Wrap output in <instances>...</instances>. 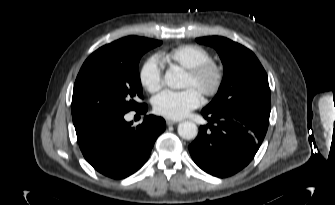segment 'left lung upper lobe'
<instances>
[{
  "instance_id": "left-lung-upper-lobe-1",
  "label": "left lung upper lobe",
  "mask_w": 335,
  "mask_h": 205,
  "mask_svg": "<svg viewBox=\"0 0 335 205\" xmlns=\"http://www.w3.org/2000/svg\"><path fill=\"white\" fill-rule=\"evenodd\" d=\"M215 48L224 66L218 93L203 111H246L269 119L271 102L267 74L255 54L227 38H197Z\"/></svg>"
}]
</instances>
